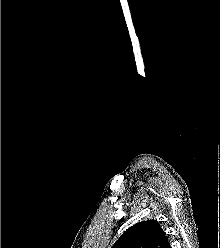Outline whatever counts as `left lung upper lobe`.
Instances as JSON below:
<instances>
[{"instance_id": "1", "label": "left lung upper lobe", "mask_w": 220, "mask_h": 248, "mask_svg": "<svg viewBox=\"0 0 220 248\" xmlns=\"http://www.w3.org/2000/svg\"><path fill=\"white\" fill-rule=\"evenodd\" d=\"M111 248H170V243L160 224L148 220L127 229Z\"/></svg>"}]
</instances>
